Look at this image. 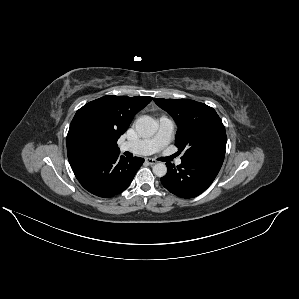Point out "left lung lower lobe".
Segmentation results:
<instances>
[{
    "label": "left lung lower lobe",
    "mask_w": 299,
    "mask_h": 299,
    "mask_svg": "<svg viewBox=\"0 0 299 299\" xmlns=\"http://www.w3.org/2000/svg\"><path fill=\"white\" fill-rule=\"evenodd\" d=\"M181 160L182 163L177 167L166 163L167 174L161 178V183L179 197L193 198L212 184L222 166L224 156L201 154Z\"/></svg>",
    "instance_id": "obj_1"
}]
</instances>
